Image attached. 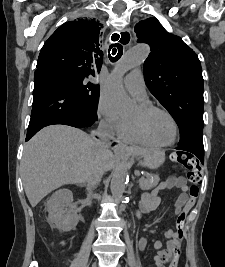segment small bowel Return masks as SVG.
I'll list each match as a JSON object with an SVG mask.
<instances>
[{
    "instance_id": "small-bowel-1",
    "label": "small bowel",
    "mask_w": 225,
    "mask_h": 267,
    "mask_svg": "<svg viewBox=\"0 0 225 267\" xmlns=\"http://www.w3.org/2000/svg\"><path fill=\"white\" fill-rule=\"evenodd\" d=\"M172 188H178L183 191V193L177 199L174 208L175 212L178 213L187 201V195L185 193L187 190V181L182 176L169 177L166 181L161 183V185L157 189L145 195L140 205V211L144 213H149L156 210L160 203V194ZM165 239V248H163V242L161 240H157L154 242V248L157 250V254L154 257L156 267H159V264L161 262L169 261L176 246L179 244L177 232L173 231L172 229H169L165 232ZM139 247L142 250L146 249L147 239L145 236H142L140 238Z\"/></svg>"
}]
</instances>
